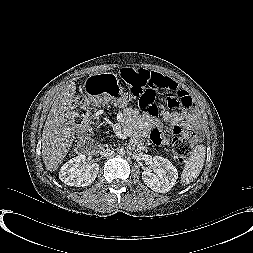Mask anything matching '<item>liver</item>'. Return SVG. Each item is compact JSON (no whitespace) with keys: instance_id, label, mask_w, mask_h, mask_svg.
Listing matches in <instances>:
<instances>
[{"instance_id":"6515ba94","label":"liver","mask_w":253,"mask_h":253,"mask_svg":"<svg viewBox=\"0 0 253 253\" xmlns=\"http://www.w3.org/2000/svg\"><path fill=\"white\" fill-rule=\"evenodd\" d=\"M76 84L66 83L56 92L42 134V158L48 171H56L70 150L76 132L72 103Z\"/></svg>"}]
</instances>
